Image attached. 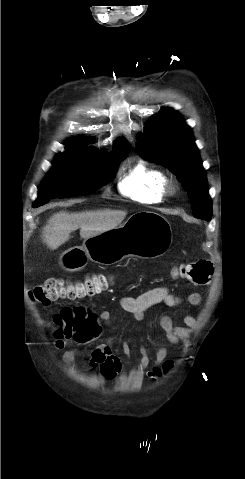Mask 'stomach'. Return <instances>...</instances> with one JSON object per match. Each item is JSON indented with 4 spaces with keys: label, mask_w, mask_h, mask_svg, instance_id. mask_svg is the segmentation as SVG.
<instances>
[{
    "label": "stomach",
    "mask_w": 245,
    "mask_h": 479,
    "mask_svg": "<svg viewBox=\"0 0 245 479\" xmlns=\"http://www.w3.org/2000/svg\"><path fill=\"white\" fill-rule=\"evenodd\" d=\"M172 242L169 221L153 211L131 215L119 227L84 240L63 252L60 264L67 271L83 269L89 260L113 265L127 257L154 259L162 256Z\"/></svg>",
    "instance_id": "stomach-1"
}]
</instances>
